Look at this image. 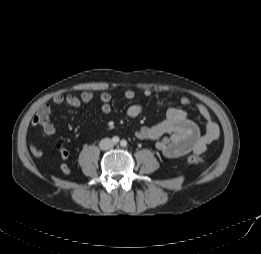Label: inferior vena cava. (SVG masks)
Returning a JSON list of instances; mask_svg holds the SVG:
<instances>
[{
  "mask_svg": "<svg viewBox=\"0 0 261 254\" xmlns=\"http://www.w3.org/2000/svg\"><path fill=\"white\" fill-rule=\"evenodd\" d=\"M99 146H100V148H101L102 150H109V149L113 148L114 143L112 142L111 139L105 138V139H102V140L100 141Z\"/></svg>",
  "mask_w": 261,
  "mask_h": 254,
  "instance_id": "inferior-vena-cava-1",
  "label": "inferior vena cava"
}]
</instances>
